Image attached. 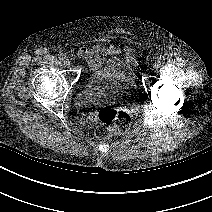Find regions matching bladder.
<instances>
[{"label": "bladder", "instance_id": "obj_1", "mask_svg": "<svg viewBox=\"0 0 212 212\" xmlns=\"http://www.w3.org/2000/svg\"><path fill=\"white\" fill-rule=\"evenodd\" d=\"M137 93L135 74L128 62L113 60L92 70L76 96L79 106L128 103Z\"/></svg>", "mask_w": 212, "mask_h": 212}]
</instances>
